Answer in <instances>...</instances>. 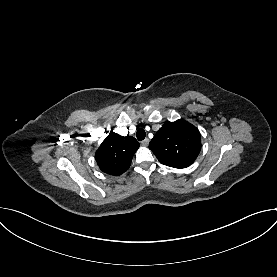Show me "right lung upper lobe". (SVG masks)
<instances>
[{
  "label": "right lung upper lobe",
  "instance_id": "1",
  "mask_svg": "<svg viewBox=\"0 0 277 277\" xmlns=\"http://www.w3.org/2000/svg\"><path fill=\"white\" fill-rule=\"evenodd\" d=\"M138 148L134 137H123L111 131L96 151L95 159L101 171L118 176L129 168Z\"/></svg>",
  "mask_w": 277,
  "mask_h": 277
}]
</instances>
